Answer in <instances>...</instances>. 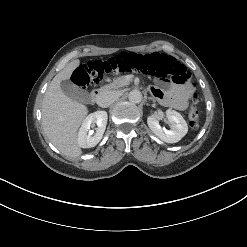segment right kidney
<instances>
[{"label":"right kidney","mask_w":247,"mask_h":247,"mask_svg":"<svg viewBox=\"0 0 247 247\" xmlns=\"http://www.w3.org/2000/svg\"><path fill=\"white\" fill-rule=\"evenodd\" d=\"M107 113L105 111H97L89 114L83 121L78 133V145L81 148H91L96 146L103 137L107 125ZM97 125L96 133L90 127Z\"/></svg>","instance_id":"ca27d5eb"}]
</instances>
